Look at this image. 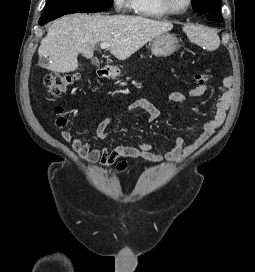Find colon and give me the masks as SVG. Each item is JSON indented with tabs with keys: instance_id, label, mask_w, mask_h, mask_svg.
<instances>
[{
	"instance_id": "5ec220e1",
	"label": "colon",
	"mask_w": 255,
	"mask_h": 272,
	"mask_svg": "<svg viewBox=\"0 0 255 272\" xmlns=\"http://www.w3.org/2000/svg\"><path fill=\"white\" fill-rule=\"evenodd\" d=\"M210 76L205 73H198L194 76V80L197 85H204L209 81ZM78 79L76 74H61L52 73L46 76L44 79V85L46 87L47 93L50 97H58L64 94L71 85H73ZM57 119L56 125L59 128L64 127L67 124V119L63 115L62 109L56 110ZM124 164L119 165V169H123Z\"/></svg>"
}]
</instances>
